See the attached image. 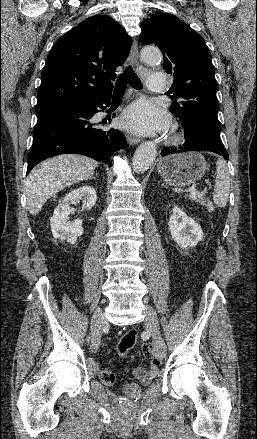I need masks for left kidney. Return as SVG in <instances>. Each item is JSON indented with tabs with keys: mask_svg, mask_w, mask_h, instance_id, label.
Returning <instances> with one entry per match:
<instances>
[{
	"mask_svg": "<svg viewBox=\"0 0 257 439\" xmlns=\"http://www.w3.org/2000/svg\"><path fill=\"white\" fill-rule=\"evenodd\" d=\"M168 225L173 240L181 248L196 246L204 238L201 227L179 207L172 209Z\"/></svg>",
	"mask_w": 257,
	"mask_h": 439,
	"instance_id": "obj_1",
	"label": "left kidney"
}]
</instances>
